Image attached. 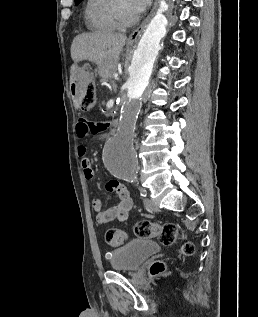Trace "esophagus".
Listing matches in <instances>:
<instances>
[{
    "mask_svg": "<svg viewBox=\"0 0 258 317\" xmlns=\"http://www.w3.org/2000/svg\"><path fill=\"white\" fill-rule=\"evenodd\" d=\"M157 3H158V0H155L154 6H153L151 12L149 13L148 17L146 18V20H144V22L129 35L128 40H136L137 38H139V36L143 32L144 28L146 27L147 23L149 22V20L153 16V13L157 7Z\"/></svg>",
    "mask_w": 258,
    "mask_h": 317,
    "instance_id": "esophagus-1",
    "label": "esophagus"
}]
</instances>
